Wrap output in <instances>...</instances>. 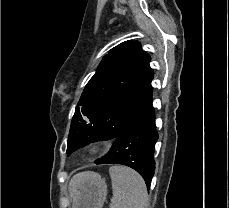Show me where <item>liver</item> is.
I'll return each mask as SVG.
<instances>
[{"label":"liver","mask_w":229,"mask_h":208,"mask_svg":"<svg viewBox=\"0 0 229 208\" xmlns=\"http://www.w3.org/2000/svg\"><path fill=\"white\" fill-rule=\"evenodd\" d=\"M98 174H95V172H80V174H76V176H73L69 182V192L72 194L73 190H75L76 186H79V184H83V182H87V180H93V178H96Z\"/></svg>","instance_id":"6515ba94"}]
</instances>
